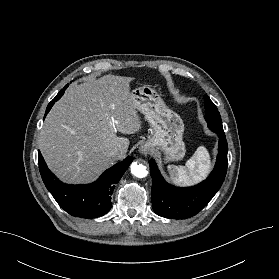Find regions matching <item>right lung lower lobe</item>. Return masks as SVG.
I'll list each match as a JSON object with an SVG mask.
<instances>
[{
	"label": "right lung lower lobe",
	"instance_id": "right-lung-lower-lobe-1",
	"mask_svg": "<svg viewBox=\"0 0 279 279\" xmlns=\"http://www.w3.org/2000/svg\"><path fill=\"white\" fill-rule=\"evenodd\" d=\"M66 85L48 104L45 116L54 103L64 94ZM133 158L125 160L106 170L94 183L88 185H68L59 181L48 169L40 151H38L39 171L43 182L54 199L66 212L74 217L97 218L111 209V195L115 184L121 179Z\"/></svg>",
	"mask_w": 279,
	"mask_h": 279
}]
</instances>
